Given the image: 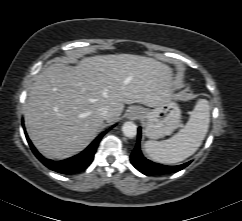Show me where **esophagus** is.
<instances>
[{
    "label": "esophagus",
    "instance_id": "1",
    "mask_svg": "<svg viewBox=\"0 0 242 221\" xmlns=\"http://www.w3.org/2000/svg\"><path fill=\"white\" fill-rule=\"evenodd\" d=\"M141 110L140 109H133L130 114L129 117L131 119H138L139 117H141Z\"/></svg>",
    "mask_w": 242,
    "mask_h": 221
}]
</instances>
